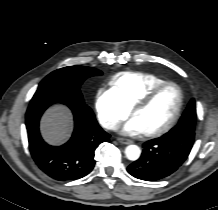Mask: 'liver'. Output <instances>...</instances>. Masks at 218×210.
Returning a JSON list of instances; mask_svg holds the SVG:
<instances>
[{"label":"liver","instance_id":"obj_1","mask_svg":"<svg viewBox=\"0 0 218 210\" xmlns=\"http://www.w3.org/2000/svg\"><path fill=\"white\" fill-rule=\"evenodd\" d=\"M71 130L72 116L65 107L53 106L42 117V135L51 144H57L66 140Z\"/></svg>","mask_w":218,"mask_h":210}]
</instances>
